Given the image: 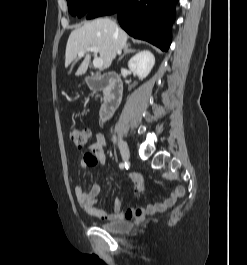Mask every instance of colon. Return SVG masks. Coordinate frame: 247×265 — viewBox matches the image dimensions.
Instances as JSON below:
<instances>
[{"instance_id":"colon-1","label":"colon","mask_w":247,"mask_h":265,"mask_svg":"<svg viewBox=\"0 0 247 265\" xmlns=\"http://www.w3.org/2000/svg\"><path fill=\"white\" fill-rule=\"evenodd\" d=\"M69 137L78 149H83L91 138V131L87 127H72L69 130Z\"/></svg>"}]
</instances>
